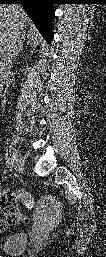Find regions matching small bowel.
<instances>
[{
    "label": "small bowel",
    "mask_w": 106,
    "mask_h": 257,
    "mask_svg": "<svg viewBox=\"0 0 106 257\" xmlns=\"http://www.w3.org/2000/svg\"><path fill=\"white\" fill-rule=\"evenodd\" d=\"M0 229L4 230L8 225L25 219V216L18 210L14 203V195L5 193L1 195L0 201Z\"/></svg>",
    "instance_id": "obj_1"
}]
</instances>
